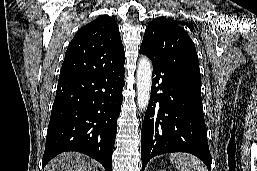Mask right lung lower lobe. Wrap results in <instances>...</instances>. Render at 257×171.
Returning a JSON list of instances; mask_svg holds the SVG:
<instances>
[{"label":"right lung lower lobe","instance_id":"obj_1","mask_svg":"<svg viewBox=\"0 0 257 171\" xmlns=\"http://www.w3.org/2000/svg\"><path fill=\"white\" fill-rule=\"evenodd\" d=\"M124 63L80 77L60 78L48 125L44 167L62 152L78 151L112 170Z\"/></svg>","mask_w":257,"mask_h":171}]
</instances>
